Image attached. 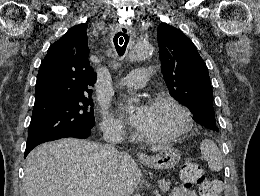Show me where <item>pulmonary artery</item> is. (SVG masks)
Returning a JSON list of instances; mask_svg holds the SVG:
<instances>
[{"label":"pulmonary artery","instance_id":"1","mask_svg":"<svg viewBox=\"0 0 260 196\" xmlns=\"http://www.w3.org/2000/svg\"><path fill=\"white\" fill-rule=\"evenodd\" d=\"M150 69H134L129 79H117V84H148ZM141 85H124V90H140Z\"/></svg>","mask_w":260,"mask_h":196}]
</instances>
